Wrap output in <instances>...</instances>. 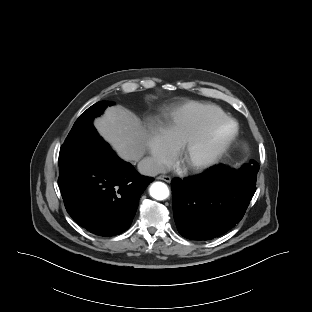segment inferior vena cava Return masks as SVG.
<instances>
[{"label": "inferior vena cava", "instance_id": "602c4592", "mask_svg": "<svg viewBox=\"0 0 312 312\" xmlns=\"http://www.w3.org/2000/svg\"><path fill=\"white\" fill-rule=\"evenodd\" d=\"M138 171L147 176H156L166 171V166L155 158L146 157L138 163Z\"/></svg>", "mask_w": 312, "mask_h": 312}]
</instances>
